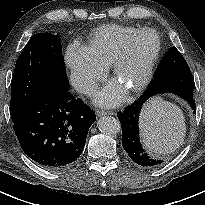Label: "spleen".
Wrapping results in <instances>:
<instances>
[{"mask_svg": "<svg viewBox=\"0 0 205 205\" xmlns=\"http://www.w3.org/2000/svg\"><path fill=\"white\" fill-rule=\"evenodd\" d=\"M140 132L144 145L157 154L171 153L184 142L185 118L179 107L154 99L141 112Z\"/></svg>", "mask_w": 205, "mask_h": 205, "instance_id": "spleen-1", "label": "spleen"}]
</instances>
